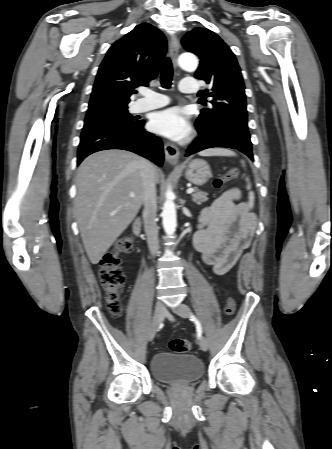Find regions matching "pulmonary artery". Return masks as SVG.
I'll list each match as a JSON object with an SVG mask.
<instances>
[{
    "label": "pulmonary artery",
    "instance_id": "obj_1",
    "mask_svg": "<svg viewBox=\"0 0 332 449\" xmlns=\"http://www.w3.org/2000/svg\"><path fill=\"white\" fill-rule=\"evenodd\" d=\"M179 90L182 93L192 94L196 92L191 80H183L179 84ZM144 97L138 100L135 104V111L143 112L147 110L163 107L169 103L167 96L154 91H146L143 93Z\"/></svg>",
    "mask_w": 332,
    "mask_h": 449
}]
</instances>
